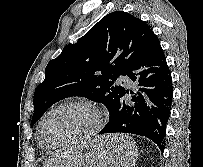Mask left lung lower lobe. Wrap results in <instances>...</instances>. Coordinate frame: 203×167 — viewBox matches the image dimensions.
Wrapping results in <instances>:
<instances>
[{
  "instance_id": "0a47b994",
  "label": "left lung lower lobe",
  "mask_w": 203,
  "mask_h": 167,
  "mask_svg": "<svg viewBox=\"0 0 203 167\" xmlns=\"http://www.w3.org/2000/svg\"><path fill=\"white\" fill-rule=\"evenodd\" d=\"M127 76L133 81H139L138 86L144 95L131 90L124 91L123 96L130 95L136 103L129 106L122 97L114 105L109 122L99 132L132 133L145 136L154 141L161 151L164 149L165 134L173 98L171 71L167 66L166 57L160 42L156 39L151 46L135 62ZM109 150H115V145H107Z\"/></svg>"
}]
</instances>
